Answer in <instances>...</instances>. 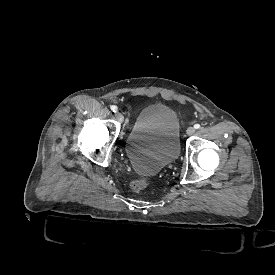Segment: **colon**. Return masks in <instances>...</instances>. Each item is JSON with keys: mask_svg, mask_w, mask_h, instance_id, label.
<instances>
[{"mask_svg": "<svg viewBox=\"0 0 275 275\" xmlns=\"http://www.w3.org/2000/svg\"><path fill=\"white\" fill-rule=\"evenodd\" d=\"M188 117V112L179 113V118ZM148 186V181L145 178H137L133 180L130 187L133 192H141Z\"/></svg>", "mask_w": 275, "mask_h": 275, "instance_id": "obj_1", "label": "colon"}]
</instances>
